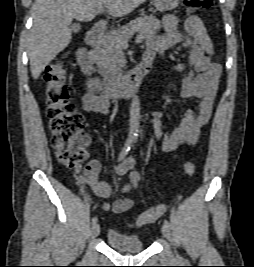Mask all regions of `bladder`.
Here are the masks:
<instances>
[{
    "instance_id": "31cf9c89",
    "label": "bladder",
    "mask_w": 254,
    "mask_h": 267,
    "mask_svg": "<svg viewBox=\"0 0 254 267\" xmlns=\"http://www.w3.org/2000/svg\"><path fill=\"white\" fill-rule=\"evenodd\" d=\"M106 240L112 248L121 252H140L145 247L140 236L128 234L117 229H110L107 232Z\"/></svg>"
}]
</instances>
